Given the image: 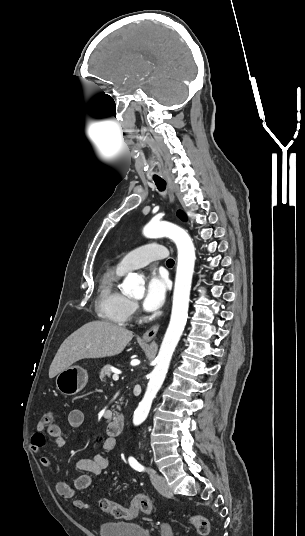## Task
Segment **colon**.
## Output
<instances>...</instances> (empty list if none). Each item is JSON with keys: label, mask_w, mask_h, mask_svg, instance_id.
Segmentation results:
<instances>
[{"label": "colon", "mask_w": 305, "mask_h": 536, "mask_svg": "<svg viewBox=\"0 0 305 536\" xmlns=\"http://www.w3.org/2000/svg\"><path fill=\"white\" fill-rule=\"evenodd\" d=\"M42 421L45 424L52 425L54 422L53 413H46L43 416ZM73 504L79 512L84 513L87 511L86 503L74 500ZM100 509L104 513L111 514L116 519H129L136 516L138 513H144L146 515H152L154 513L152 503L143 493L135 494L132 501L127 506L118 504L109 498H103L100 500ZM188 521L194 526L195 533L198 536L208 535L210 525L207 518L201 515H192L188 518Z\"/></svg>", "instance_id": "1"}]
</instances>
